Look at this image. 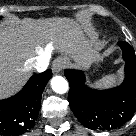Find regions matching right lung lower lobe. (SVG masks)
Here are the masks:
<instances>
[{"instance_id":"obj_1","label":"right lung lower lobe","mask_w":136,"mask_h":136,"mask_svg":"<svg viewBox=\"0 0 136 136\" xmlns=\"http://www.w3.org/2000/svg\"><path fill=\"white\" fill-rule=\"evenodd\" d=\"M51 76V70L34 75L19 93L0 100V136H18L34 126L43 90Z\"/></svg>"}]
</instances>
